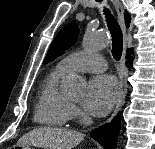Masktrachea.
<instances>
[{
  "mask_svg": "<svg viewBox=\"0 0 155 149\" xmlns=\"http://www.w3.org/2000/svg\"><path fill=\"white\" fill-rule=\"evenodd\" d=\"M97 1L101 2V0ZM104 14L106 15L107 26L112 36V54L114 59L118 61L121 58L123 49L122 31L109 9H104Z\"/></svg>",
  "mask_w": 155,
  "mask_h": 149,
  "instance_id": "obj_1",
  "label": "trachea"
}]
</instances>
